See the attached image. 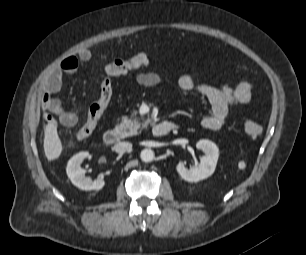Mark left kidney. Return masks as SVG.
Listing matches in <instances>:
<instances>
[{
    "label": "left kidney",
    "instance_id": "1",
    "mask_svg": "<svg viewBox=\"0 0 306 255\" xmlns=\"http://www.w3.org/2000/svg\"><path fill=\"white\" fill-rule=\"evenodd\" d=\"M197 149L202 150L205 155L200 159V165L186 168L182 162L176 166V170L185 181L198 182L211 176L216 168L219 156V149L215 143L209 140H199L196 143Z\"/></svg>",
    "mask_w": 306,
    "mask_h": 255
}]
</instances>
